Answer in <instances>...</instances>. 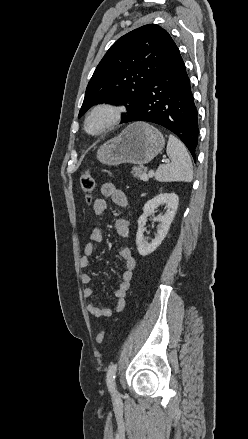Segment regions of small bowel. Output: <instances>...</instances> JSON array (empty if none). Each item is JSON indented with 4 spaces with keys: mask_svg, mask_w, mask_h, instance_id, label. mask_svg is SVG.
<instances>
[{
    "mask_svg": "<svg viewBox=\"0 0 248 439\" xmlns=\"http://www.w3.org/2000/svg\"><path fill=\"white\" fill-rule=\"evenodd\" d=\"M101 194L110 198L113 203L123 210L127 205V197L124 191L118 189L113 183L107 182L101 186ZM107 209V202L104 198H97L93 203V211L95 215H102ZM116 234L120 238H127L129 236V221L121 214L115 221ZM89 242L84 247V254L80 259V267L86 269L90 265V257L95 252V245L103 241V230L100 227L92 229L89 237ZM119 257L124 261V270L121 273V281L115 290L116 302L110 308H100L94 303L90 302L87 305L88 312L97 318H109L113 313H118L123 310L125 305V297L130 288L133 271L136 267V260L132 256L131 249L123 247L118 252ZM81 283L86 285L83 289V295L90 298L94 294L91 286V276L88 273H82L80 276Z\"/></svg>",
    "mask_w": 248,
    "mask_h": 439,
    "instance_id": "1",
    "label": "small bowel"
}]
</instances>
